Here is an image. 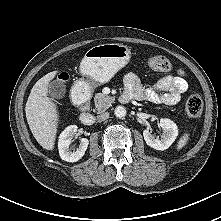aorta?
<instances>
[{
	"label": "aorta",
	"instance_id": "762f6f07",
	"mask_svg": "<svg viewBox=\"0 0 221 221\" xmlns=\"http://www.w3.org/2000/svg\"><path fill=\"white\" fill-rule=\"evenodd\" d=\"M114 114L118 118H123L126 116V109L123 106H117L114 110Z\"/></svg>",
	"mask_w": 221,
	"mask_h": 221
}]
</instances>
